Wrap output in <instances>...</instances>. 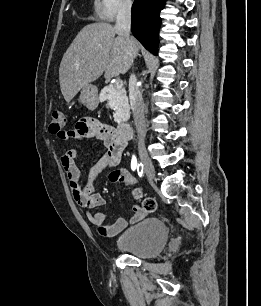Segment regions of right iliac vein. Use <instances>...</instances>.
Wrapping results in <instances>:
<instances>
[{
	"instance_id": "right-iliac-vein-1",
	"label": "right iliac vein",
	"mask_w": 261,
	"mask_h": 306,
	"mask_svg": "<svg viewBox=\"0 0 261 306\" xmlns=\"http://www.w3.org/2000/svg\"><path fill=\"white\" fill-rule=\"evenodd\" d=\"M138 151H139V156H140V160L141 163L144 166V171L148 177V179L150 181H152L155 177V170H154V166L148 156V153L145 149V146L143 144V142H139L138 143Z\"/></svg>"
}]
</instances>
